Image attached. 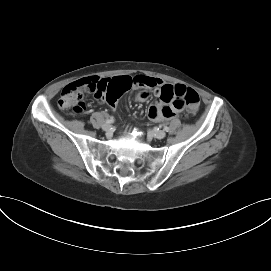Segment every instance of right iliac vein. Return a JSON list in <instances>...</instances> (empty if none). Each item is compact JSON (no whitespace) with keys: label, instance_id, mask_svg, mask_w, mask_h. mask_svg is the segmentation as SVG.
I'll return each mask as SVG.
<instances>
[{"label":"right iliac vein","instance_id":"63e3f726","mask_svg":"<svg viewBox=\"0 0 271 271\" xmlns=\"http://www.w3.org/2000/svg\"><path fill=\"white\" fill-rule=\"evenodd\" d=\"M102 129L106 132H109L111 130V125L108 123L103 124Z\"/></svg>","mask_w":271,"mask_h":271}]
</instances>
